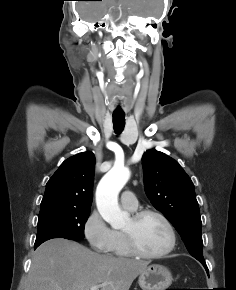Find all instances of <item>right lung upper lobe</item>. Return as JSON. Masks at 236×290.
Returning <instances> with one entry per match:
<instances>
[{
  "mask_svg": "<svg viewBox=\"0 0 236 290\" xmlns=\"http://www.w3.org/2000/svg\"><path fill=\"white\" fill-rule=\"evenodd\" d=\"M94 166L95 156L90 151L65 160L47 182L40 210L53 207L90 209Z\"/></svg>",
  "mask_w": 236,
  "mask_h": 290,
  "instance_id": "1",
  "label": "right lung upper lobe"
}]
</instances>
